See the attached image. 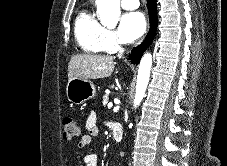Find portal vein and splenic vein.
Instances as JSON below:
<instances>
[{
    "label": "portal vein and splenic vein",
    "instance_id": "portal-vein-and-splenic-vein-1",
    "mask_svg": "<svg viewBox=\"0 0 227 166\" xmlns=\"http://www.w3.org/2000/svg\"><path fill=\"white\" fill-rule=\"evenodd\" d=\"M112 106H113L112 103H109V104H108V108H109V109H110Z\"/></svg>",
    "mask_w": 227,
    "mask_h": 166
}]
</instances>
